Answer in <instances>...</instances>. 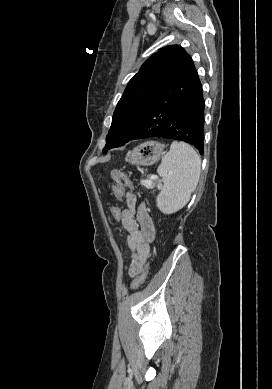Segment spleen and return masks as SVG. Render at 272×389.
<instances>
[{
    "label": "spleen",
    "instance_id": "spleen-1",
    "mask_svg": "<svg viewBox=\"0 0 272 389\" xmlns=\"http://www.w3.org/2000/svg\"><path fill=\"white\" fill-rule=\"evenodd\" d=\"M200 171L201 160L196 151L186 143L173 142L157 169L163 179L157 207L165 214L183 208L198 184Z\"/></svg>",
    "mask_w": 272,
    "mask_h": 389
}]
</instances>
